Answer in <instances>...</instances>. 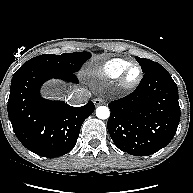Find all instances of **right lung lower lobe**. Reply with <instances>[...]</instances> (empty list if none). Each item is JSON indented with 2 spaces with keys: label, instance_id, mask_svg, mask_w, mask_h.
<instances>
[{
  "label": "right lung lower lobe",
  "instance_id": "obj_1",
  "mask_svg": "<svg viewBox=\"0 0 193 193\" xmlns=\"http://www.w3.org/2000/svg\"><path fill=\"white\" fill-rule=\"evenodd\" d=\"M58 78L77 83L75 73L43 68L18 70L11 81L8 116L20 142L43 157L62 156L75 146L84 120L95 106L89 101L72 107L63 101H49L40 96L41 85Z\"/></svg>",
  "mask_w": 193,
  "mask_h": 193
}]
</instances>
